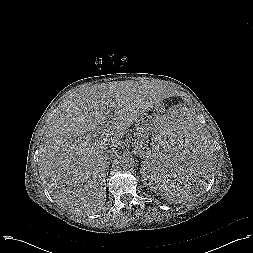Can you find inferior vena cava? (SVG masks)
Returning <instances> with one entry per match:
<instances>
[{
	"instance_id": "602c4592",
	"label": "inferior vena cava",
	"mask_w": 253,
	"mask_h": 253,
	"mask_svg": "<svg viewBox=\"0 0 253 253\" xmlns=\"http://www.w3.org/2000/svg\"><path fill=\"white\" fill-rule=\"evenodd\" d=\"M115 149H116L115 147H112V148L110 149V151H108V152H110V153H111L110 155H113V153H112V152H114V151H115ZM110 155H107L106 159H108Z\"/></svg>"
}]
</instances>
